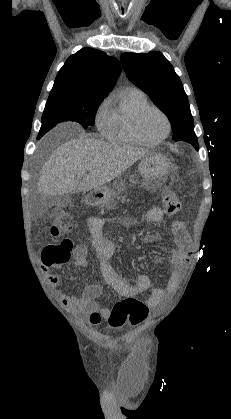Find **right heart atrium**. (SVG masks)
<instances>
[{
	"mask_svg": "<svg viewBox=\"0 0 231 419\" xmlns=\"http://www.w3.org/2000/svg\"><path fill=\"white\" fill-rule=\"evenodd\" d=\"M95 123L99 132L107 136L112 125L111 97L105 98L98 106Z\"/></svg>",
	"mask_w": 231,
	"mask_h": 419,
	"instance_id": "right-heart-atrium-1",
	"label": "right heart atrium"
}]
</instances>
